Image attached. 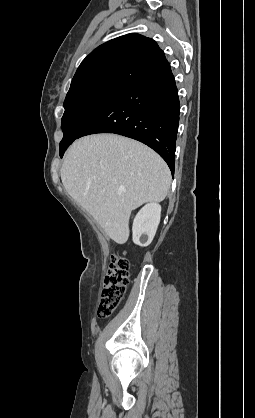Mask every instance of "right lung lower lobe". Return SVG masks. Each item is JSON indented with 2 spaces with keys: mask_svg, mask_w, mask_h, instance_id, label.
I'll return each instance as SVG.
<instances>
[{
  "mask_svg": "<svg viewBox=\"0 0 255 418\" xmlns=\"http://www.w3.org/2000/svg\"><path fill=\"white\" fill-rule=\"evenodd\" d=\"M179 111L178 90L168 68L118 92L77 138L94 133H115L136 139L155 150L166 161L173 175Z\"/></svg>",
  "mask_w": 255,
  "mask_h": 418,
  "instance_id": "obj_1",
  "label": "right lung lower lobe"
}]
</instances>
